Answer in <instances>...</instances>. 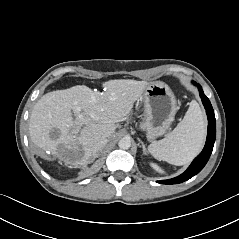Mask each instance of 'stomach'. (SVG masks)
<instances>
[{
	"instance_id": "obj_1",
	"label": "stomach",
	"mask_w": 239,
	"mask_h": 239,
	"mask_svg": "<svg viewBox=\"0 0 239 239\" xmlns=\"http://www.w3.org/2000/svg\"><path fill=\"white\" fill-rule=\"evenodd\" d=\"M144 118L139 128L148 140L164 135L177 112V102L172 90L163 82L149 84L144 92Z\"/></svg>"
}]
</instances>
